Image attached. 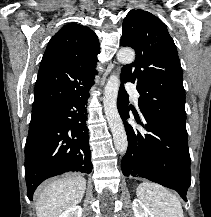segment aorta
Masks as SVG:
<instances>
[{
  "label": "aorta",
  "mask_w": 211,
  "mask_h": 217,
  "mask_svg": "<svg viewBox=\"0 0 211 217\" xmlns=\"http://www.w3.org/2000/svg\"><path fill=\"white\" fill-rule=\"evenodd\" d=\"M135 59V52L132 49L123 48L117 53V60L123 64H130ZM120 86V78L111 75L104 88V111L111 129L115 149L120 153H125L128 142L125 128L117 110V95Z\"/></svg>",
  "instance_id": "1"
}]
</instances>
